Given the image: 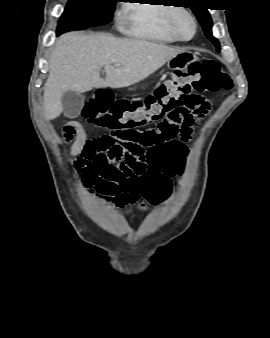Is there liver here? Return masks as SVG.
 I'll return each instance as SVG.
<instances>
[{"instance_id": "obj_1", "label": "liver", "mask_w": 270, "mask_h": 338, "mask_svg": "<svg viewBox=\"0 0 270 338\" xmlns=\"http://www.w3.org/2000/svg\"><path fill=\"white\" fill-rule=\"evenodd\" d=\"M141 39H119L108 34H63L50 57V72L44 87V113L48 120L63 111L66 91L83 93L93 88H121L137 83L184 52ZM104 68L106 77H100Z\"/></svg>"}]
</instances>
